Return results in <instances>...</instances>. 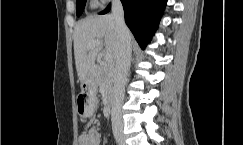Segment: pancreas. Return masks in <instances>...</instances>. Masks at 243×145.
Wrapping results in <instances>:
<instances>
[{
  "mask_svg": "<svg viewBox=\"0 0 243 145\" xmlns=\"http://www.w3.org/2000/svg\"><path fill=\"white\" fill-rule=\"evenodd\" d=\"M114 80V64L104 62L100 64L96 72V81L105 91L112 88Z\"/></svg>",
  "mask_w": 243,
  "mask_h": 145,
  "instance_id": "obj_1",
  "label": "pancreas"
}]
</instances>
